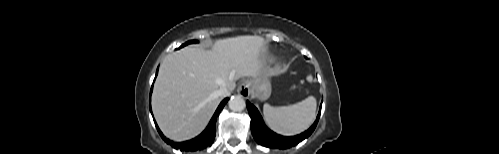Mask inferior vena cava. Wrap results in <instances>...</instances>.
I'll list each match as a JSON object with an SVG mask.
<instances>
[{"label":"inferior vena cava","instance_id":"1","mask_svg":"<svg viewBox=\"0 0 499 154\" xmlns=\"http://www.w3.org/2000/svg\"><path fill=\"white\" fill-rule=\"evenodd\" d=\"M216 93L219 97H227L230 95L229 89L225 86L220 87Z\"/></svg>","mask_w":499,"mask_h":154}]
</instances>
